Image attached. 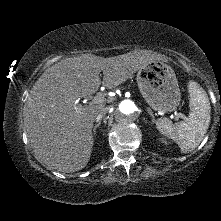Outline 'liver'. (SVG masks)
Instances as JSON below:
<instances>
[{
	"label": "liver",
	"mask_w": 221,
	"mask_h": 221,
	"mask_svg": "<svg viewBox=\"0 0 221 221\" xmlns=\"http://www.w3.org/2000/svg\"><path fill=\"white\" fill-rule=\"evenodd\" d=\"M162 54L132 51L103 58L92 54L61 60L40 76L24 106V125L36 157L50 169L72 173L84 168L92 153V128L105 104L81 105L102 84L115 88ZM103 72V80L99 77Z\"/></svg>",
	"instance_id": "1"
}]
</instances>
